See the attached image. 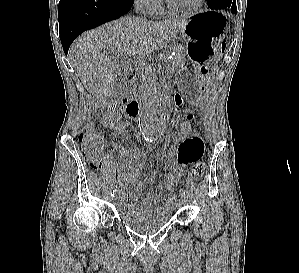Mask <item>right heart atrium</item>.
Returning <instances> with one entry per match:
<instances>
[{
  "label": "right heart atrium",
  "instance_id": "right-heart-atrium-1",
  "mask_svg": "<svg viewBox=\"0 0 299 273\" xmlns=\"http://www.w3.org/2000/svg\"><path fill=\"white\" fill-rule=\"evenodd\" d=\"M135 4L144 11H153L159 7L161 0H134Z\"/></svg>",
  "mask_w": 299,
  "mask_h": 273
}]
</instances>
